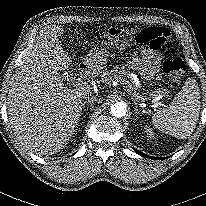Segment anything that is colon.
<instances>
[{
    "mask_svg": "<svg viewBox=\"0 0 206 206\" xmlns=\"http://www.w3.org/2000/svg\"><path fill=\"white\" fill-rule=\"evenodd\" d=\"M170 39L167 29L161 27H151L138 30L135 26H127L111 29L102 39L103 43L111 46H124L129 43H148L152 50H158ZM172 58L163 63V71L168 79L175 84L181 82L186 65L185 62L176 57L177 51L172 48L169 51Z\"/></svg>",
    "mask_w": 206,
    "mask_h": 206,
    "instance_id": "obj_1",
    "label": "colon"
}]
</instances>
